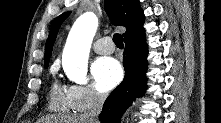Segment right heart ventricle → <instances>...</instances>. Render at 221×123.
Listing matches in <instances>:
<instances>
[{
	"label": "right heart ventricle",
	"instance_id": "1",
	"mask_svg": "<svg viewBox=\"0 0 221 123\" xmlns=\"http://www.w3.org/2000/svg\"><path fill=\"white\" fill-rule=\"evenodd\" d=\"M48 108L59 113H67L72 109L67 90H64L56 81L52 83L50 88Z\"/></svg>",
	"mask_w": 221,
	"mask_h": 123
}]
</instances>
